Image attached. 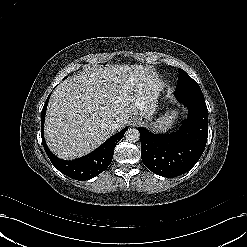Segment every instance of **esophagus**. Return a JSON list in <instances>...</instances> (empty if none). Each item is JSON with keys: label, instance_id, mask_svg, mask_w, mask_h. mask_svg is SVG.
<instances>
[{"label": "esophagus", "instance_id": "obj_1", "mask_svg": "<svg viewBox=\"0 0 247 247\" xmlns=\"http://www.w3.org/2000/svg\"><path fill=\"white\" fill-rule=\"evenodd\" d=\"M138 124H140V120H139L138 118H134V119L132 120V124H131V125L137 126Z\"/></svg>", "mask_w": 247, "mask_h": 247}]
</instances>
